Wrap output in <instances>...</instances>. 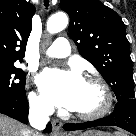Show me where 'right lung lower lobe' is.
<instances>
[{
  "label": "right lung lower lobe",
  "mask_w": 136,
  "mask_h": 136,
  "mask_svg": "<svg viewBox=\"0 0 136 136\" xmlns=\"http://www.w3.org/2000/svg\"><path fill=\"white\" fill-rule=\"evenodd\" d=\"M0 113L22 123H28V102L26 96L20 99H0ZM44 131L51 132V124H48Z\"/></svg>",
  "instance_id": "right-lung-lower-lobe-1"
}]
</instances>
